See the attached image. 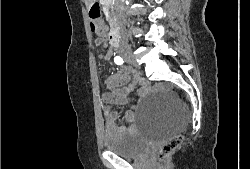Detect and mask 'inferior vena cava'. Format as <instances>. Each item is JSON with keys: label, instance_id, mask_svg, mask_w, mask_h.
<instances>
[{"label": "inferior vena cava", "instance_id": "obj_1", "mask_svg": "<svg viewBox=\"0 0 250 169\" xmlns=\"http://www.w3.org/2000/svg\"><path fill=\"white\" fill-rule=\"evenodd\" d=\"M116 2H117V6L115 8V10H116L115 14H116L117 22L119 24V28H120L121 32H124L125 16L123 14L121 4H119V2H121V0H116Z\"/></svg>", "mask_w": 250, "mask_h": 169}]
</instances>
